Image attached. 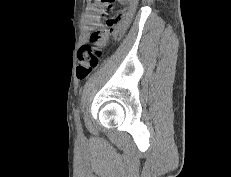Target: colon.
Masks as SVG:
<instances>
[{
	"mask_svg": "<svg viewBox=\"0 0 231 177\" xmlns=\"http://www.w3.org/2000/svg\"><path fill=\"white\" fill-rule=\"evenodd\" d=\"M128 3V9L118 18H110L106 20L105 27L94 31L90 36V43L81 46L77 52V68L76 74L80 80L87 78L91 72L98 66L99 58L101 57V49L98 45L105 39L109 30L108 28L117 23L118 21L124 20L129 17L134 11L137 0H122ZM103 10L111 9L114 0H99ZM103 16L102 12L96 14L97 18Z\"/></svg>",
	"mask_w": 231,
	"mask_h": 177,
	"instance_id": "colon-1",
	"label": "colon"
}]
</instances>
